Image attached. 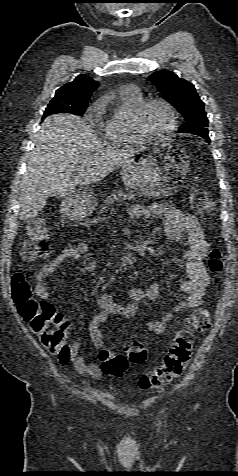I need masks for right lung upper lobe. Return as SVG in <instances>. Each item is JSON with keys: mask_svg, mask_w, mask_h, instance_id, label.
Wrapping results in <instances>:
<instances>
[{"mask_svg": "<svg viewBox=\"0 0 238 476\" xmlns=\"http://www.w3.org/2000/svg\"><path fill=\"white\" fill-rule=\"evenodd\" d=\"M98 82L86 74L78 75L74 81L63 85L56 91L55 97H67L76 104H88L92 92L96 90Z\"/></svg>", "mask_w": 238, "mask_h": 476, "instance_id": "cb5924a9", "label": "right lung upper lobe"}]
</instances>
